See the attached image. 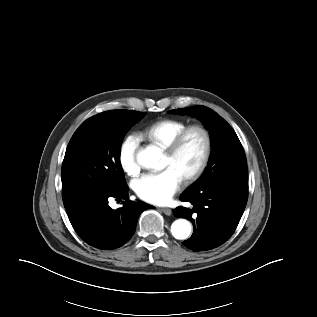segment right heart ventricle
Returning <instances> with one entry per match:
<instances>
[{
	"mask_svg": "<svg viewBox=\"0 0 317 317\" xmlns=\"http://www.w3.org/2000/svg\"><path fill=\"white\" fill-rule=\"evenodd\" d=\"M187 126V123L181 120L162 119L146 127L141 136L166 149L172 140Z\"/></svg>",
	"mask_w": 317,
	"mask_h": 317,
	"instance_id": "e07e8e85",
	"label": "right heart ventricle"
}]
</instances>
